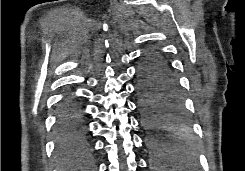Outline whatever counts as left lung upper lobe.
Listing matches in <instances>:
<instances>
[{
	"mask_svg": "<svg viewBox=\"0 0 245 171\" xmlns=\"http://www.w3.org/2000/svg\"><path fill=\"white\" fill-rule=\"evenodd\" d=\"M152 50L147 51L141 61H152Z\"/></svg>",
	"mask_w": 245,
	"mask_h": 171,
	"instance_id": "5c2ea615",
	"label": "left lung upper lobe"
}]
</instances>
